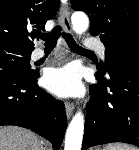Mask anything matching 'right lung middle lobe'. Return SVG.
I'll return each mask as SVG.
<instances>
[{"label": "right lung middle lobe", "instance_id": "dd1d6c3e", "mask_svg": "<svg viewBox=\"0 0 139 150\" xmlns=\"http://www.w3.org/2000/svg\"><path fill=\"white\" fill-rule=\"evenodd\" d=\"M31 52L0 45V69H12L24 75L35 73L30 66Z\"/></svg>", "mask_w": 139, "mask_h": 150}]
</instances>
